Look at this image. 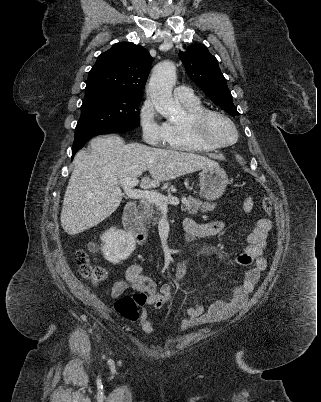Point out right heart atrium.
I'll use <instances>...</instances> for the list:
<instances>
[{
	"mask_svg": "<svg viewBox=\"0 0 321 402\" xmlns=\"http://www.w3.org/2000/svg\"><path fill=\"white\" fill-rule=\"evenodd\" d=\"M139 125L143 140L150 145H162L165 142V122H161L153 103L146 100L140 108Z\"/></svg>",
	"mask_w": 321,
	"mask_h": 402,
	"instance_id": "right-heart-atrium-1",
	"label": "right heart atrium"
}]
</instances>
